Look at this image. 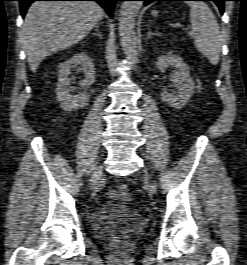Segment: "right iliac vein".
<instances>
[{
  "mask_svg": "<svg viewBox=\"0 0 247 265\" xmlns=\"http://www.w3.org/2000/svg\"><path fill=\"white\" fill-rule=\"evenodd\" d=\"M101 175H102V166H98L97 168H96V170L94 171V173H93V175H92V177H91V185H94V184H96L97 183V181L99 180V178L101 177Z\"/></svg>",
  "mask_w": 247,
  "mask_h": 265,
  "instance_id": "63e3f726",
  "label": "right iliac vein"
}]
</instances>
